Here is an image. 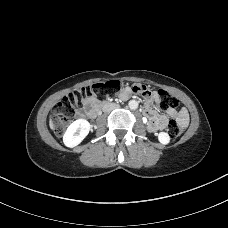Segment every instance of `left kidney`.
Wrapping results in <instances>:
<instances>
[{"instance_id":"obj_1","label":"left kidney","mask_w":228,"mask_h":228,"mask_svg":"<svg viewBox=\"0 0 228 228\" xmlns=\"http://www.w3.org/2000/svg\"><path fill=\"white\" fill-rule=\"evenodd\" d=\"M158 140L162 144H168L170 142V136L168 133L160 132L158 135Z\"/></svg>"}]
</instances>
